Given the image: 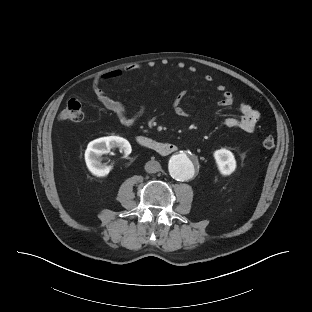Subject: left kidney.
Instances as JSON below:
<instances>
[{
  "label": "left kidney",
  "mask_w": 312,
  "mask_h": 312,
  "mask_svg": "<svg viewBox=\"0 0 312 312\" xmlns=\"http://www.w3.org/2000/svg\"><path fill=\"white\" fill-rule=\"evenodd\" d=\"M220 173L224 176L232 174L236 169V160L231 151L227 149H219L214 152Z\"/></svg>",
  "instance_id": "left-kidney-1"
}]
</instances>
